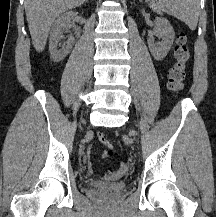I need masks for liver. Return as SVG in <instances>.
I'll use <instances>...</instances> for the list:
<instances>
[{"instance_id": "1", "label": "liver", "mask_w": 216, "mask_h": 217, "mask_svg": "<svg viewBox=\"0 0 216 217\" xmlns=\"http://www.w3.org/2000/svg\"><path fill=\"white\" fill-rule=\"evenodd\" d=\"M85 0H25V12L34 48L42 52L50 28L62 12L81 6Z\"/></svg>"}]
</instances>
